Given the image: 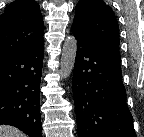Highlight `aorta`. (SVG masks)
I'll use <instances>...</instances> for the list:
<instances>
[{"instance_id":"762f6f07","label":"aorta","mask_w":144,"mask_h":137,"mask_svg":"<svg viewBox=\"0 0 144 137\" xmlns=\"http://www.w3.org/2000/svg\"><path fill=\"white\" fill-rule=\"evenodd\" d=\"M77 53V40L75 36H68L62 47V55L60 61V76L63 79H66L70 76L76 59Z\"/></svg>"}]
</instances>
